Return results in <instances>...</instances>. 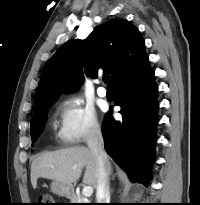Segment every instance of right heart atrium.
I'll return each instance as SVG.
<instances>
[{"mask_svg":"<svg viewBox=\"0 0 200 205\" xmlns=\"http://www.w3.org/2000/svg\"><path fill=\"white\" fill-rule=\"evenodd\" d=\"M58 115L57 139L62 144H80L100 133L95 112L78 98L71 97L62 101Z\"/></svg>","mask_w":200,"mask_h":205,"instance_id":"1","label":"right heart atrium"}]
</instances>
